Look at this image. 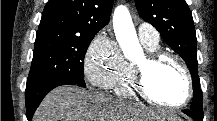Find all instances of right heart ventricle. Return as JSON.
Masks as SVG:
<instances>
[{"label": "right heart ventricle", "instance_id": "e07e8e85", "mask_svg": "<svg viewBox=\"0 0 217 121\" xmlns=\"http://www.w3.org/2000/svg\"><path fill=\"white\" fill-rule=\"evenodd\" d=\"M145 48L151 53L158 50V44L151 45L142 42ZM113 93L120 97H133L137 95V90L133 78V65L124 62V67L122 69L119 77L110 86Z\"/></svg>", "mask_w": 217, "mask_h": 121}]
</instances>
